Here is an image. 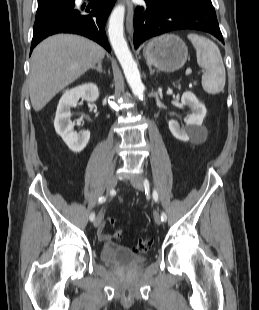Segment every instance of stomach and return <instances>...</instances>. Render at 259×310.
Wrapping results in <instances>:
<instances>
[{
    "instance_id": "1",
    "label": "stomach",
    "mask_w": 259,
    "mask_h": 310,
    "mask_svg": "<svg viewBox=\"0 0 259 310\" xmlns=\"http://www.w3.org/2000/svg\"><path fill=\"white\" fill-rule=\"evenodd\" d=\"M143 56L148 65L173 72L187 61L188 48L178 36L166 34L150 41L143 50Z\"/></svg>"
}]
</instances>
